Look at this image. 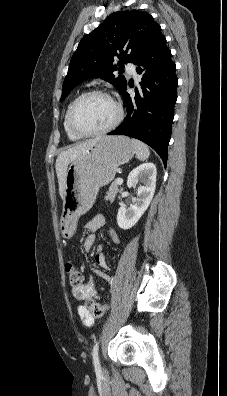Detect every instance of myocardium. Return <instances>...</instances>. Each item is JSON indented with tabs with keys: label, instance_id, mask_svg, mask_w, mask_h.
Returning a JSON list of instances; mask_svg holds the SVG:
<instances>
[{
	"label": "myocardium",
	"instance_id": "obj_1",
	"mask_svg": "<svg viewBox=\"0 0 227 396\" xmlns=\"http://www.w3.org/2000/svg\"><path fill=\"white\" fill-rule=\"evenodd\" d=\"M92 95H99L109 99L116 108V117L108 126L103 129L96 131H84L80 129L75 123V111L79 103L86 97ZM123 108L119 102H117L108 92L100 90V89H91L80 94L71 104L68 113V124L73 133L80 137H93L106 134L112 130H114L123 119Z\"/></svg>",
	"mask_w": 227,
	"mask_h": 396
}]
</instances>
